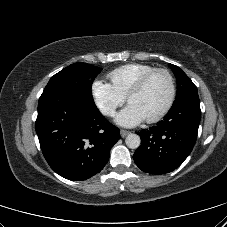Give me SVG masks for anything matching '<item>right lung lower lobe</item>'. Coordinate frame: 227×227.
I'll list each match as a JSON object with an SVG mask.
<instances>
[{
    "label": "right lung lower lobe",
    "mask_w": 227,
    "mask_h": 227,
    "mask_svg": "<svg viewBox=\"0 0 227 227\" xmlns=\"http://www.w3.org/2000/svg\"><path fill=\"white\" fill-rule=\"evenodd\" d=\"M43 155L50 167L69 180H86L109 159L120 131L94 102L69 90L42 94L35 124Z\"/></svg>",
    "instance_id": "98d812e1"
}]
</instances>
